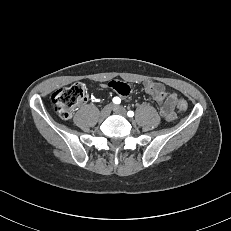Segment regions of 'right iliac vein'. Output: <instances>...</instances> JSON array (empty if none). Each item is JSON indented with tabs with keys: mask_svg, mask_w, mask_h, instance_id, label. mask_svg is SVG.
Listing matches in <instances>:
<instances>
[{
	"mask_svg": "<svg viewBox=\"0 0 231 231\" xmlns=\"http://www.w3.org/2000/svg\"><path fill=\"white\" fill-rule=\"evenodd\" d=\"M111 110H112V105L111 104H108L106 106H104L100 112V116L101 118H106L110 115L111 113Z\"/></svg>",
	"mask_w": 231,
	"mask_h": 231,
	"instance_id": "obj_1",
	"label": "right iliac vein"
}]
</instances>
